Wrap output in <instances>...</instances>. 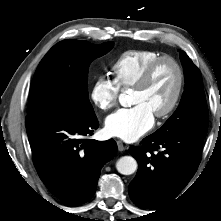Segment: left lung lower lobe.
Wrapping results in <instances>:
<instances>
[{
	"instance_id": "1",
	"label": "left lung lower lobe",
	"mask_w": 221,
	"mask_h": 221,
	"mask_svg": "<svg viewBox=\"0 0 221 221\" xmlns=\"http://www.w3.org/2000/svg\"><path fill=\"white\" fill-rule=\"evenodd\" d=\"M204 138L194 133L151 134L143 139L142 147H131L139 164L129 184L131 200L143 209H158L173 201L198 168Z\"/></svg>"
}]
</instances>
